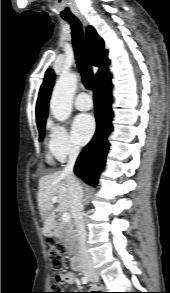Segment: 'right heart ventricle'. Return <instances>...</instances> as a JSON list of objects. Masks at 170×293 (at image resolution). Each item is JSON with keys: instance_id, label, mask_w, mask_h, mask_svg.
<instances>
[{"instance_id": "obj_1", "label": "right heart ventricle", "mask_w": 170, "mask_h": 293, "mask_svg": "<svg viewBox=\"0 0 170 293\" xmlns=\"http://www.w3.org/2000/svg\"><path fill=\"white\" fill-rule=\"evenodd\" d=\"M49 162L51 161V159L48 157Z\"/></svg>"}]
</instances>
